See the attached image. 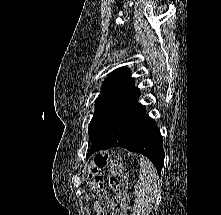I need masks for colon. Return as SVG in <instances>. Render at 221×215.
Returning a JSON list of instances; mask_svg holds the SVG:
<instances>
[{"mask_svg": "<svg viewBox=\"0 0 221 215\" xmlns=\"http://www.w3.org/2000/svg\"><path fill=\"white\" fill-rule=\"evenodd\" d=\"M106 166H109L112 172L109 185L115 193L113 199L103 193L102 170ZM87 182L90 190L97 195L94 203L96 215H107L110 211L113 212V215H130L128 179L118 154L95 155L89 165Z\"/></svg>", "mask_w": 221, "mask_h": 215, "instance_id": "obj_1", "label": "colon"}]
</instances>
